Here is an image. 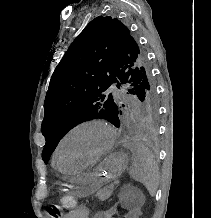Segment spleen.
<instances>
[{
    "label": "spleen",
    "instance_id": "obj_1",
    "mask_svg": "<svg viewBox=\"0 0 211 218\" xmlns=\"http://www.w3.org/2000/svg\"><path fill=\"white\" fill-rule=\"evenodd\" d=\"M130 176L147 188L150 196H155L159 186V168L150 150L140 148L132 152Z\"/></svg>",
    "mask_w": 211,
    "mask_h": 218
}]
</instances>
